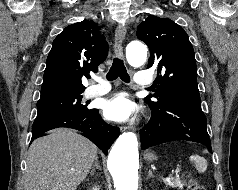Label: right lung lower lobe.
<instances>
[{
	"label": "right lung lower lobe",
	"instance_id": "1",
	"mask_svg": "<svg viewBox=\"0 0 238 190\" xmlns=\"http://www.w3.org/2000/svg\"><path fill=\"white\" fill-rule=\"evenodd\" d=\"M68 127L82 131L107 155V151L119 135V128L105 123L99 116L97 109L86 111L59 113L36 118L32 126V138L41 137L48 130Z\"/></svg>",
	"mask_w": 238,
	"mask_h": 190
}]
</instances>
